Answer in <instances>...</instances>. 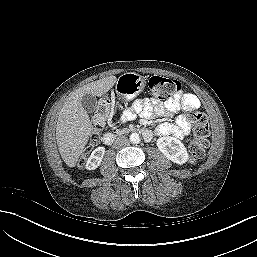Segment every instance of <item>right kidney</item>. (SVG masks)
Listing matches in <instances>:
<instances>
[{
    "instance_id": "obj_1",
    "label": "right kidney",
    "mask_w": 257,
    "mask_h": 257,
    "mask_svg": "<svg viewBox=\"0 0 257 257\" xmlns=\"http://www.w3.org/2000/svg\"><path fill=\"white\" fill-rule=\"evenodd\" d=\"M104 153H105L104 147H97L96 149H94L86 162V165H85L86 169L95 170L96 168H98V166H100L101 164Z\"/></svg>"
}]
</instances>
